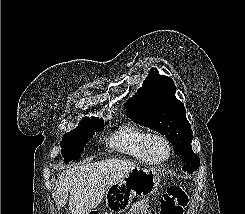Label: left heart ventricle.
I'll list each match as a JSON object with an SVG mask.
<instances>
[{"mask_svg":"<svg viewBox=\"0 0 245 214\" xmlns=\"http://www.w3.org/2000/svg\"><path fill=\"white\" fill-rule=\"evenodd\" d=\"M149 154L155 160L163 159L167 155V148L162 141L154 139L149 145Z\"/></svg>","mask_w":245,"mask_h":214,"instance_id":"left-heart-ventricle-1","label":"left heart ventricle"}]
</instances>
